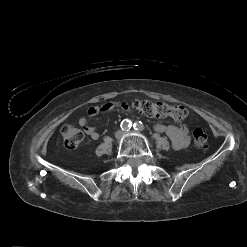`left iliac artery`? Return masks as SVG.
<instances>
[{"label": "left iliac artery", "instance_id": "44dca946", "mask_svg": "<svg viewBox=\"0 0 247 247\" xmlns=\"http://www.w3.org/2000/svg\"><path fill=\"white\" fill-rule=\"evenodd\" d=\"M133 128H134V130H136V131H143V130H144V125L142 124L141 121H136V122L133 124Z\"/></svg>", "mask_w": 247, "mask_h": 247}]
</instances>
